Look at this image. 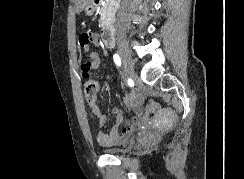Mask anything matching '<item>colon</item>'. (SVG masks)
Instances as JSON below:
<instances>
[{
  "instance_id": "colon-1",
  "label": "colon",
  "mask_w": 244,
  "mask_h": 179,
  "mask_svg": "<svg viewBox=\"0 0 244 179\" xmlns=\"http://www.w3.org/2000/svg\"><path fill=\"white\" fill-rule=\"evenodd\" d=\"M99 85L96 80L85 76L83 95L87 102L94 103L97 100ZM148 101H155V96H148Z\"/></svg>"
}]
</instances>
